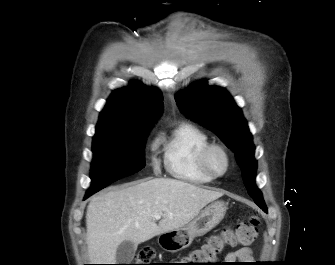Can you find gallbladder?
Listing matches in <instances>:
<instances>
[{
	"instance_id": "bac80fb5",
	"label": "gallbladder",
	"mask_w": 335,
	"mask_h": 265,
	"mask_svg": "<svg viewBox=\"0 0 335 265\" xmlns=\"http://www.w3.org/2000/svg\"><path fill=\"white\" fill-rule=\"evenodd\" d=\"M136 248L137 246L134 242L123 241L116 251L117 264H129L135 256Z\"/></svg>"
}]
</instances>
